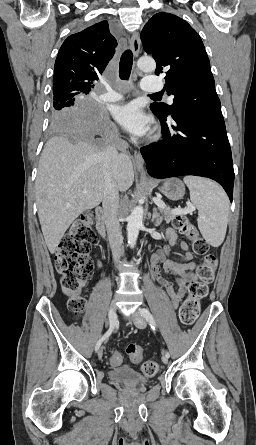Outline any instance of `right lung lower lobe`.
I'll return each mask as SVG.
<instances>
[{
	"label": "right lung lower lobe",
	"mask_w": 256,
	"mask_h": 445,
	"mask_svg": "<svg viewBox=\"0 0 256 445\" xmlns=\"http://www.w3.org/2000/svg\"><path fill=\"white\" fill-rule=\"evenodd\" d=\"M78 122H84L86 129L83 135L88 138L99 137L104 144L115 142V132L109 116L106 111L99 105L88 102L82 108ZM116 147L124 148V143L116 141Z\"/></svg>",
	"instance_id": "1"
}]
</instances>
